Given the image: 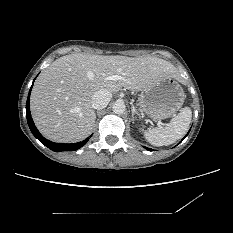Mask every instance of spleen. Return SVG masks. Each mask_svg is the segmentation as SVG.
<instances>
[{
    "label": "spleen",
    "instance_id": "obj_1",
    "mask_svg": "<svg viewBox=\"0 0 233 233\" xmlns=\"http://www.w3.org/2000/svg\"><path fill=\"white\" fill-rule=\"evenodd\" d=\"M192 111L185 107L164 127H156L145 133L147 141L153 146H167L182 138L191 122Z\"/></svg>",
    "mask_w": 233,
    "mask_h": 233
}]
</instances>
